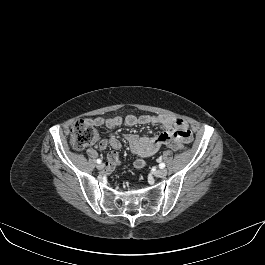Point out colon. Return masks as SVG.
<instances>
[{
	"mask_svg": "<svg viewBox=\"0 0 265 265\" xmlns=\"http://www.w3.org/2000/svg\"><path fill=\"white\" fill-rule=\"evenodd\" d=\"M99 139V134L95 127L86 120H77L70 129V142L73 148L82 150ZM174 150H184L185 145L180 141L173 139L168 145Z\"/></svg>",
	"mask_w": 265,
	"mask_h": 265,
	"instance_id": "colon-1",
	"label": "colon"
}]
</instances>
